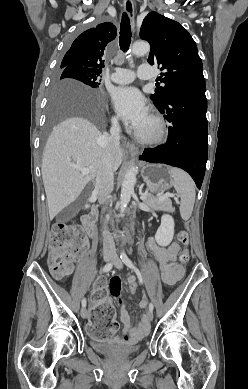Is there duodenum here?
<instances>
[{
    "label": "duodenum",
    "mask_w": 248,
    "mask_h": 389,
    "mask_svg": "<svg viewBox=\"0 0 248 389\" xmlns=\"http://www.w3.org/2000/svg\"><path fill=\"white\" fill-rule=\"evenodd\" d=\"M97 211L94 207L91 210L82 216V224L89 236L94 235V222L96 220Z\"/></svg>",
    "instance_id": "410a0bca"
}]
</instances>
